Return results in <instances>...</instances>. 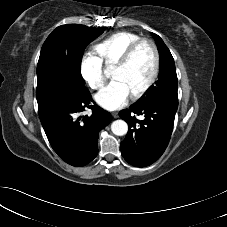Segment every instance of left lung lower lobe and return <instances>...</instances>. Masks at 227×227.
Wrapping results in <instances>:
<instances>
[{
	"instance_id": "obj_1",
	"label": "left lung lower lobe",
	"mask_w": 227,
	"mask_h": 227,
	"mask_svg": "<svg viewBox=\"0 0 227 227\" xmlns=\"http://www.w3.org/2000/svg\"><path fill=\"white\" fill-rule=\"evenodd\" d=\"M178 105L161 99L133 104L120 111L129 131L121 142V154L133 166L146 167L164 153L173 130ZM136 115H142L138 120Z\"/></svg>"
}]
</instances>
